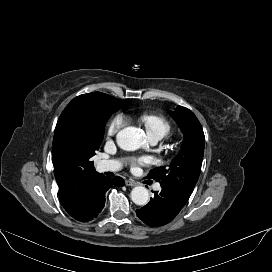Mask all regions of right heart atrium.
<instances>
[{
	"label": "right heart atrium",
	"mask_w": 272,
	"mask_h": 272,
	"mask_svg": "<svg viewBox=\"0 0 272 272\" xmlns=\"http://www.w3.org/2000/svg\"><path fill=\"white\" fill-rule=\"evenodd\" d=\"M126 117L122 114L116 115L111 122L109 123L107 134L108 136L115 135L120 128H122L126 124Z\"/></svg>",
	"instance_id": "obj_1"
}]
</instances>
